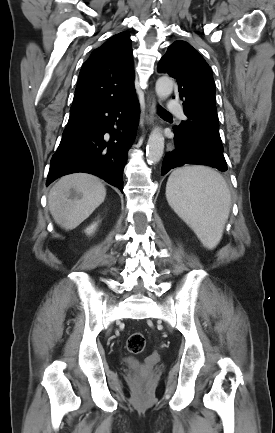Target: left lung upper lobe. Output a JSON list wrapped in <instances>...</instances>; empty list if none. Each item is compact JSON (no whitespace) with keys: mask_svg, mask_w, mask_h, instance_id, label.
<instances>
[{"mask_svg":"<svg viewBox=\"0 0 275 433\" xmlns=\"http://www.w3.org/2000/svg\"><path fill=\"white\" fill-rule=\"evenodd\" d=\"M158 71L168 73L178 85L187 121L174 127L181 137L215 166L226 169L219 134L215 83L212 71L203 57L187 42L178 40L168 47Z\"/></svg>","mask_w":275,"mask_h":433,"instance_id":"left-lung-upper-lobe-1","label":"left lung upper lobe"}]
</instances>
